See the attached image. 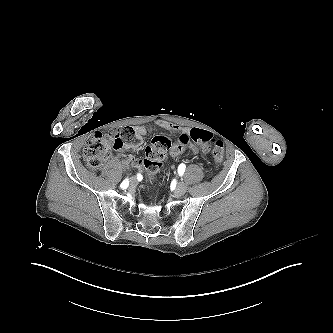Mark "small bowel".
Returning a JSON list of instances; mask_svg holds the SVG:
<instances>
[{"mask_svg": "<svg viewBox=\"0 0 333 333\" xmlns=\"http://www.w3.org/2000/svg\"><path fill=\"white\" fill-rule=\"evenodd\" d=\"M158 125H160L161 127L165 128L167 130H170V131H173V132H179L180 133L179 138L189 139V143H190L192 135H193V140L195 142H201L202 140L209 141L212 138V133L210 131H206V130H203V129H198V128L182 129L176 124L165 122V121L158 122ZM134 131H135V137L138 141L142 140V138L147 134V128L145 126H137V127H135ZM122 144L123 143L120 141L116 147L118 149L121 148L123 151L125 149L133 150L137 147V145L133 142L127 144L126 148ZM189 149H191L193 152L196 151V148L191 146V145H189ZM179 152L180 151L176 150V151H173L172 154L174 156H176V155L179 154ZM132 164L134 165L135 168H140V162L139 161L133 162Z\"/></svg>", "mask_w": 333, "mask_h": 333, "instance_id": "c3829d8e", "label": "small bowel"}]
</instances>
